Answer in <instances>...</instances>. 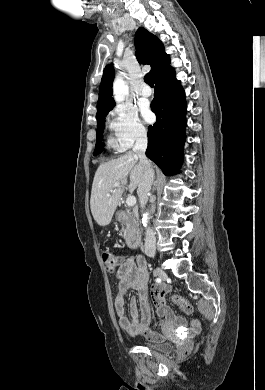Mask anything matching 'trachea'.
<instances>
[{
  "label": "trachea",
  "mask_w": 265,
  "mask_h": 390,
  "mask_svg": "<svg viewBox=\"0 0 265 390\" xmlns=\"http://www.w3.org/2000/svg\"><path fill=\"white\" fill-rule=\"evenodd\" d=\"M144 81H145L149 86H151V87L154 86V83H153V80H152L150 74L145 75Z\"/></svg>",
  "instance_id": "1"
}]
</instances>
